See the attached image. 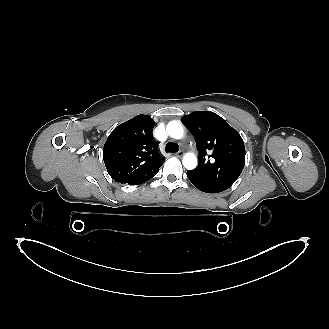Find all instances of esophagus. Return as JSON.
<instances>
[{
	"label": "esophagus",
	"instance_id": "1",
	"mask_svg": "<svg viewBox=\"0 0 329 329\" xmlns=\"http://www.w3.org/2000/svg\"><path fill=\"white\" fill-rule=\"evenodd\" d=\"M184 155L183 151H178L177 153H175V156L177 157H182Z\"/></svg>",
	"mask_w": 329,
	"mask_h": 329
}]
</instances>
